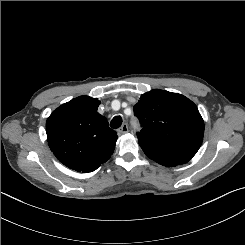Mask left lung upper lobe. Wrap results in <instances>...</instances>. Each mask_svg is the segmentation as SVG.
<instances>
[{
	"mask_svg": "<svg viewBox=\"0 0 245 245\" xmlns=\"http://www.w3.org/2000/svg\"><path fill=\"white\" fill-rule=\"evenodd\" d=\"M133 108L143 127L138 142L189 158L200 148L204 121L187 97L154 89L142 94Z\"/></svg>",
	"mask_w": 245,
	"mask_h": 245,
	"instance_id": "1",
	"label": "left lung upper lobe"
}]
</instances>
